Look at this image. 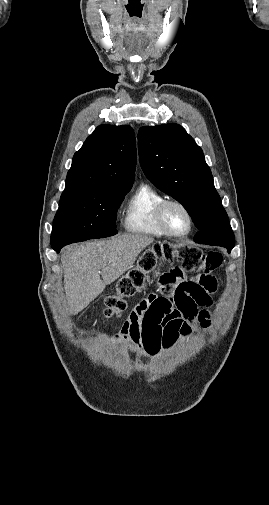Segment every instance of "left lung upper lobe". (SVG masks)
I'll use <instances>...</instances> for the list:
<instances>
[{"label":"left lung upper lobe","mask_w":269,"mask_h":505,"mask_svg":"<svg viewBox=\"0 0 269 505\" xmlns=\"http://www.w3.org/2000/svg\"><path fill=\"white\" fill-rule=\"evenodd\" d=\"M142 170L161 191L179 201L200 230L195 242L234 247V234L202 149L178 124L139 129Z\"/></svg>","instance_id":"obj_1"}]
</instances>
